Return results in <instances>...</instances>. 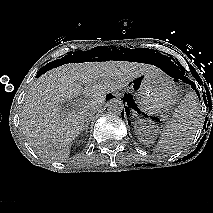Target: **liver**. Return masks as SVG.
Returning a JSON list of instances; mask_svg holds the SVG:
<instances>
[{"label": "liver", "mask_w": 213, "mask_h": 213, "mask_svg": "<svg viewBox=\"0 0 213 213\" xmlns=\"http://www.w3.org/2000/svg\"><path fill=\"white\" fill-rule=\"evenodd\" d=\"M158 71L152 65L129 61L68 63L47 71L36 79L23 101L20 128L27 143L42 159L66 161L73 140L84 127L87 108L99 109L108 92ZM82 93L90 100L62 112V102Z\"/></svg>", "instance_id": "obj_1"}]
</instances>
